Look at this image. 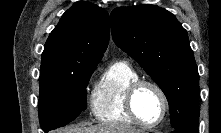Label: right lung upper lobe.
<instances>
[{
  "label": "right lung upper lobe",
  "instance_id": "right-lung-upper-lobe-1",
  "mask_svg": "<svg viewBox=\"0 0 221 133\" xmlns=\"http://www.w3.org/2000/svg\"><path fill=\"white\" fill-rule=\"evenodd\" d=\"M109 15L86 1L76 2L50 33L42 53L41 71L97 63L109 41Z\"/></svg>",
  "mask_w": 221,
  "mask_h": 133
}]
</instances>
